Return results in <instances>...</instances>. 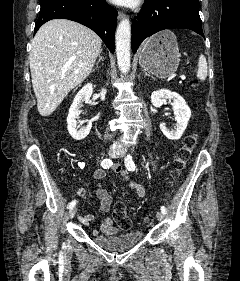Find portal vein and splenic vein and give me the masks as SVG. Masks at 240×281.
<instances>
[{
	"label": "portal vein and splenic vein",
	"mask_w": 240,
	"mask_h": 281,
	"mask_svg": "<svg viewBox=\"0 0 240 281\" xmlns=\"http://www.w3.org/2000/svg\"><path fill=\"white\" fill-rule=\"evenodd\" d=\"M180 78H181L182 80H184V79H185V75H181Z\"/></svg>",
	"instance_id": "obj_1"
}]
</instances>
